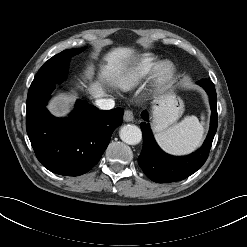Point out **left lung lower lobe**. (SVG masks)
Listing matches in <instances>:
<instances>
[{
    "mask_svg": "<svg viewBox=\"0 0 247 247\" xmlns=\"http://www.w3.org/2000/svg\"><path fill=\"white\" fill-rule=\"evenodd\" d=\"M209 95L211 105V122L207 138L195 153L183 157H174L164 153L156 144L149 124H140L143 134V148L138 157V164L146 176L157 183H168L183 180L195 173L207 160L214 135L217 130V102L214 84L209 79L197 82ZM148 121L147 112L141 113Z\"/></svg>",
    "mask_w": 247,
    "mask_h": 247,
    "instance_id": "obj_1",
    "label": "left lung lower lobe"
}]
</instances>
